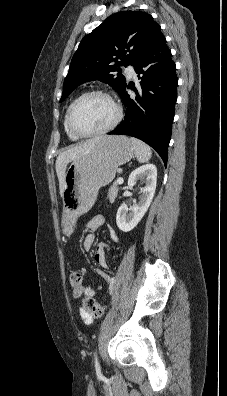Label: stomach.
<instances>
[{
	"label": "stomach",
	"mask_w": 227,
	"mask_h": 396,
	"mask_svg": "<svg viewBox=\"0 0 227 396\" xmlns=\"http://www.w3.org/2000/svg\"><path fill=\"white\" fill-rule=\"evenodd\" d=\"M134 153L126 136H103L71 162L62 196L63 234L73 233L77 218L91 209L99 189L113 181L117 168L129 162Z\"/></svg>",
	"instance_id": "stomach-1"
}]
</instances>
